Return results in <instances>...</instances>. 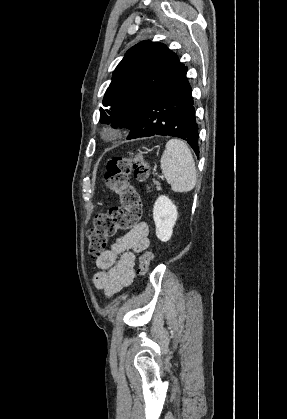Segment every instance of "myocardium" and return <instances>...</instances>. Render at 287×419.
Segmentation results:
<instances>
[{"instance_id":"1","label":"myocardium","mask_w":287,"mask_h":419,"mask_svg":"<svg viewBox=\"0 0 287 419\" xmlns=\"http://www.w3.org/2000/svg\"><path fill=\"white\" fill-rule=\"evenodd\" d=\"M115 137V134L114 133H109V134H107V136H106V138H110V139H112V138H114Z\"/></svg>"}]
</instances>
